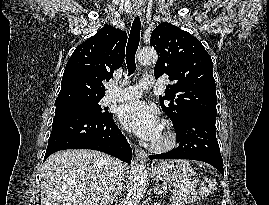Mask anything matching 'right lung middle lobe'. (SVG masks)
<instances>
[{
    "instance_id": "obj_1",
    "label": "right lung middle lobe",
    "mask_w": 269,
    "mask_h": 205,
    "mask_svg": "<svg viewBox=\"0 0 269 205\" xmlns=\"http://www.w3.org/2000/svg\"><path fill=\"white\" fill-rule=\"evenodd\" d=\"M99 101L100 100L56 107L55 115L83 113L99 118H105L111 115V113H108L101 108L98 104Z\"/></svg>"
}]
</instances>
